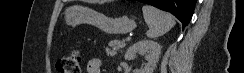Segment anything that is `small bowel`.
<instances>
[{
	"label": "small bowel",
	"instance_id": "c3829d8e",
	"mask_svg": "<svg viewBox=\"0 0 244 73\" xmlns=\"http://www.w3.org/2000/svg\"><path fill=\"white\" fill-rule=\"evenodd\" d=\"M87 73H101V61L93 58L87 63Z\"/></svg>",
	"mask_w": 244,
	"mask_h": 73
}]
</instances>
